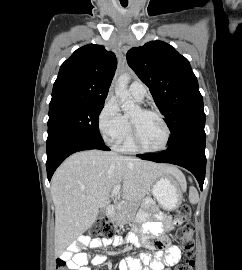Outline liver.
Instances as JSON below:
<instances>
[{"label":"liver","instance_id":"liver-1","mask_svg":"<svg viewBox=\"0 0 242 270\" xmlns=\"http://www.w3.org/2000/svg\"><path fill=\"white\" fill-rule=\"evenodd\" d=\"M163 175L185 181L174 166L115 152L87 150L71 155L56 170L51 181L56 252L70 245L93 225L99 210L109 204L115 186L122 185L123 200L138 203Z\"/></svg>","mask_w":242,"mask_h":270}]
</instances>
